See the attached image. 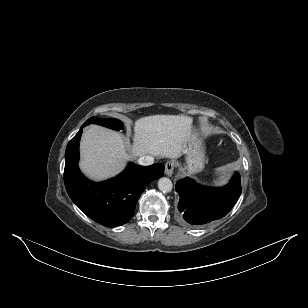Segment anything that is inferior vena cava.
<instances>
[{
    "mask_svg": "<svg viewBox=\"0 0 308 308\" xmlns=\"http://www.w3.org/2000/svg\"><path fill=\"white\" fill-rule=\"evenodd\" d=\"M138 163L142 166L152 165L154 163V157L149 155L142 156L138 159Z\"/></svg>",
    "mask_w": 308,
    "mask_h": 308,
    "instance_id": "602c4592",
    "label": "inferior vena cava"
}]
</instances>
